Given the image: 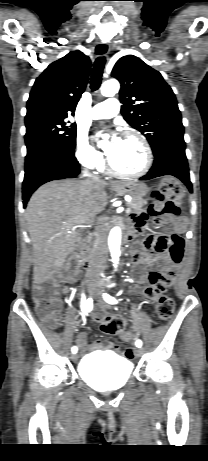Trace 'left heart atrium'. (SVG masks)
Listing matches in <instances>:
<instances>
[{"label":"left heart atrium","mask_w":208,"mask_h":461,"mask_svg":"<svg viewBox=\"0 0 208 461\" xmlns=\"http://www.w3.org/2000/svg\"><path fill=\"white\" fill-rule=\"evenodd\" d=\"M118 140H119V138L116 137V136H114V137L112 138V140H111V143H112V144H116V143L118 142Z\"/></svg>","instance_id":"obj_1"}]
</instances>
